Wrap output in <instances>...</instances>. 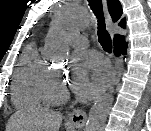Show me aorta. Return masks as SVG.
<instances>
[{
  "label": "aorta",
  "instance_id": "obj_1",
  "mask_svg": "<svg viewBox=\"0 0 151 131\" xmlns=\"http://www.w3.org/2000/svg\"><path fill=\"white\" fill-rule=\"evenodd\" d=\"M58 23L59 28L50 33L45 44V56L52 61H59L68 56V49L62 36V30H79L83 26V21L77 16L76 11L71 6L62 8ZM113 100L114 98L111 94H105L94 102L88 114L85 131H104Z\"/></svg>",
  "mask_w": 151,
  "mask_h": 131
}]
</instances>
